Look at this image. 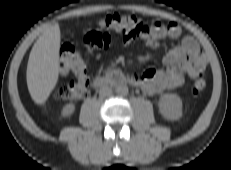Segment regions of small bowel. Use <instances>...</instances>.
Masks as SVG:
<instances>
[{
	"mask_svg": "<svg viewBox=\"0 0 231 170\" xmlns=\"http://www.w3.org/2000/svg\"><path fill=\"white\" fill-rule=\"evenodd\" d=\"M182 29L171 22L164 25L154 22L146 26L138 36L147 46L156 48L165 38L178 39ZM135 37L122 35L120 40L127 46ZM114 40V33L110 31H91L84 37V43L98 50L106 49ZM163 68L148 69L146 71L129 76L130 83L139 86L148 94H158L166 90H174L181 87L187 77L193 78L202 73L206 67V59L196 40L190 36H184L180 43L171 49L163 58Z\"/></svg>",
	"mask_w": 231,
	"mask_h": 170,
	"instance_id": "obj_1",
	"label": "small bowel"
}]
</instances>
